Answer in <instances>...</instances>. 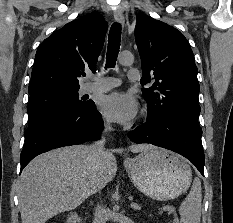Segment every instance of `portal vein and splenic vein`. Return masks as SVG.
<instances>
[{
    "label": "portal vein and splenic vein",
    "instance_id": "portal-vein-and-splenic-vein-1",
    "mask_svg": "<svg viewBox=\"0 0 233 223\" xmlns=\"http://www.w3.org/2000/svg\"><path fill=\"white\" fill-rule=\"evenodd\" d=\"M132 207H134V209H141L140 205H138V203H131Z\"/></svg>",
    "mask_w": 233,
    "mask_h": 223
}]
</instances>
